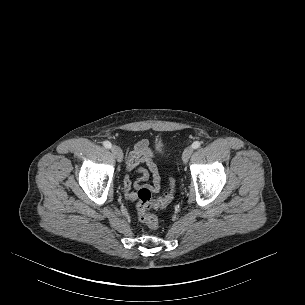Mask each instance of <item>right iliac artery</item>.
I'll return each mask as SVG.
<instances>
[{
    "mask_svg": "<svg viewBox=\"0 0 305 305\" xmlns=\"http://www.w3.org/2000/svg\"><path fill=\"white\" fill-rule=\"evenodd\" d=\"M103 145L105 148H108V149H110L112 147V144L109 141H104Z\"/></svg>",
    "mask_w": 305,
    "mask_h": 305,
    "instance_id": "right-iliac-artery-1",
    "label": "right iliac artery"
}]
</instances>
